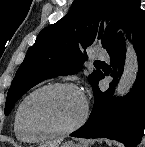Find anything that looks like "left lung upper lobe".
Here are the masks:
<instances>
[{
    "instance_id": "1",
    "label": "left lung upper lobe",
    "mask_w": 145,
    "mask_h": 147,
    "mask_svg": "<svg viewBox=\"0 0 145 147\" xmlns=\"http://www.w3.org/2000/svg\"><path fill=\"white\" fill-rule=\"evenodd\" d=\"M131 0H75L69 13L57 23L43 29L16 72L8 91L5 115L29 89L43 80L79 72L87 57L85 49L100 40L107 49L115 38L112 25L121 27ZM111 21L104 29L103 22ZM102 75L95 70L89 75L92 87Z\"/></svg>"
}]
</instances>
